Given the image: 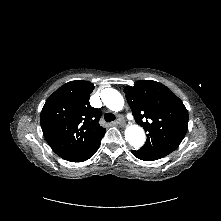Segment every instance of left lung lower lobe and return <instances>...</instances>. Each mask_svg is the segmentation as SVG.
<instances>
[{"mask_svg": "<svg viewBox=\"0 0 221 221\" xmlns=\"http://www.w3.org/2000/svg\"><path fill=\"white\" fill-rule=\"evenodd\" d=\"M131 152L135 157H137L138 159L144 160V161H154V160L159 159V158H154V157L144 155V154L140 153L139 151H131Z\"/></svg>", "mask_w": 221, "mask_h": 221, "instance_id": "0a47b994", "label": "left lung lower lobe"}]
</instances>
